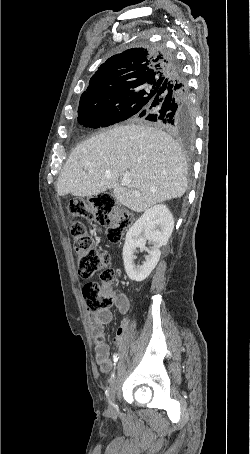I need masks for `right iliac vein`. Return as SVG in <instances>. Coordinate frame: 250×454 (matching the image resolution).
I'll return each instance as SVG.
<instances>
[{"mask_svg":"<svg viewBox=\"0 0 250 454\" xmlns=\"http://www.w3.org/2000/svg\"><path fill=\"white\" fill-rule=\"evenodd\" d=\"M118 373H119V368L117 369L116 375H115L114 379L112 380L110 389L108 391V410L111 414L116 413L115 394H116V389L118 386Z\"/></svg>","mask_w":250,"mask_h":454,"instance_id":"obj_1","label":"right iliac vein"}]
</instances>
